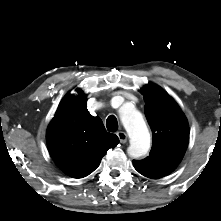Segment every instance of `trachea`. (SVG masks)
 <instances>
[{"label":"trachea","instance_id":"3493384b","mask_svg":"<svg viewBox=\"0 0 221 221\" xmlns=\"http://www.w3.org/2000/svg\"><path fill=\"white\" fill-rule=\"evenodd\" d=\"M107 130L110 132H116L118 130V122L114 115H110L106 120Z\"/></svg>","mask_w":221,"mask_h":221}]
</instances>
